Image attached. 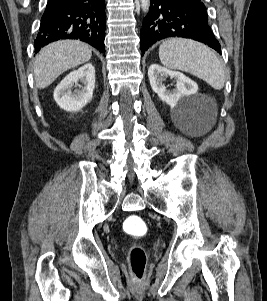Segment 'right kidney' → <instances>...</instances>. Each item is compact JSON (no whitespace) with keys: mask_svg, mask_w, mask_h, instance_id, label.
I'll use <instances>...</instances> for the list:
<instances>
[{"mask_svg":"<svg viewBox=\"0 0 267 301\" xmlns=\"http://www.w3.org/2000/svg\"><path fill=\"white\" fill-rule=\"evenodd\" d=\"M82 83V86L78 82ZM76 87H79L77 89ZM73 88H76L73 90ZM95 88V68L88 63L69 73L54 90V100L68 112L80 111L93 96Z\"/></svg>","mask_w":267,"mask_h":301,"instance_id":"1","label":"right kidney"}]
</instances>
